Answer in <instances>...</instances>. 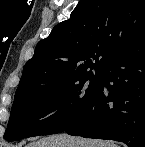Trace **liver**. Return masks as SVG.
Here are the masks:
<instances>
[{
	"label": "liver",
	"mask_w": 145,
	"mask_h": 147,
	"mask_svg": "<svg viewBox=\"0 0 145 147\" xmlns=\"http://www.w3.org/2000/svg\"><path fill=\"white\" fill-rule=\"evenodd\" d=\"M27 147H118V145L103 140H91L60 134L44 137L28 144Z\"/></svg>",
	"instance_id": "6515ba94"
}]
</instances>
